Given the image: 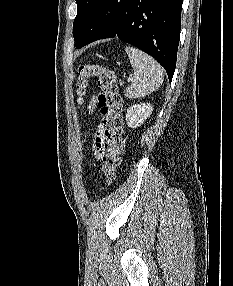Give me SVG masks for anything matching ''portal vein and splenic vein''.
<instances>
[{
    "instance_id": "1",
    "label": "portal vein and splenic vein",
    "mask_w": 233,
    "mask_h": 286,
    "mask_svg": "<svg viewBox=\"0 0 233 286\" xmlns=\"http://www.w3.org/2000/svg\"><path fill=\"white\" fill-rule=\"evenodd\" d=\"M132 80H133V78H132V77H129L128 81H132Z\"/></svg>"
}]
</instances>
